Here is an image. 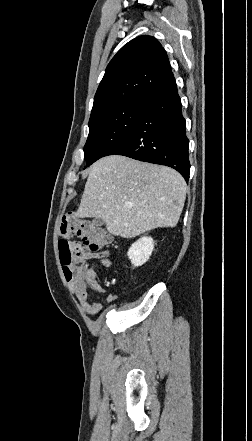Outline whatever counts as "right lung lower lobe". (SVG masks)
Segmentation results:
<instances>
[{"label":"right lung lower lobe","mask_w":252,"mask_h":441,"mask_svg":"<svg viewBox=\"0 0 252 441\" xmlns=\"http://www.w3.org/2000/svg\"><path fill=\"white\" fill-rule=\"evenodd\" d=\"M144 101L143 112L133 129L106 156L123 155L169 166L188 182L189 140L175 79L148 94Z\"/></svg>","instance_id":"right-lung-lower-lobe-1"}]
</instances>
